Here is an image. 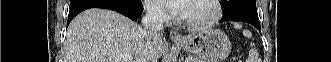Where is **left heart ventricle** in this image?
Returning <instances> with one entry per match:
<instances>
[{
    "instance_id": "obj_1",
    "label": "left heart ventricle",
    "mask_w": 331,
    "mask_h": 62,
    "mask_svg": "<svg viewBox=\"0 0 331 62\" xmlns=\"http://www.w3.org/2000/svg\"><path fill=\"white\" fill-rule=\"evenodd\" d=\"M213 13L211 5L204 0H194L189 4L188 13L184 16L189 21L208 19Z\"/></svg>"
}]
</instances>
